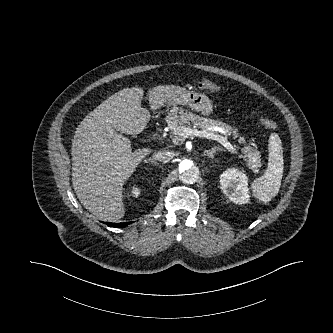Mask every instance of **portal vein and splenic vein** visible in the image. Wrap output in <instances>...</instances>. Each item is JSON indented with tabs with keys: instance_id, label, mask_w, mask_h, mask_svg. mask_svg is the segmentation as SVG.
Segmentation results:
<instances>
[{
	"instance_id": "1",
	"label": "portal vein and splenic vein",
	"mask_w": 333,
	"mask_h": 333,
	"mask_svg": "<svg viewBox=\"0 0 333 333\" xmlns=\"http://www.w3.org/2000/svg\"><path fill=\"white\" fill-rule=\"evenodd\" d=\"M184 138L188 136H196V137H202V138H209L212 140H216L219 143H221L226 149H228L231 152H236L235 146H233L226 138L216 135L214 133L206 132V131H200L198 129H185L183 133L181 134Z\"/></svg>"
}]
</instances>
